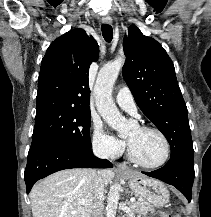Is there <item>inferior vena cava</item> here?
Masks as SVG:
<instances>
[{
    "label": "inferior vena cava",
    "mask_w": 211,
    "mask_h": 217,
    "mask_svg": "<svg viewBox=\"0 0 211 217\" xmlns=\"http://www.w3.org/2000/svg\"><path fill=\"white\" fill-rule=\"evenodd\" d=\"M93 152L97 157L107 158L108 150L105 145H99L93 148ZM104 181L102 178V172L98 171L94 179L93 185V207L91 217H103V196H104Z\"/></svg>",
    "instance_id": "obj_1"
}]
</instances>
